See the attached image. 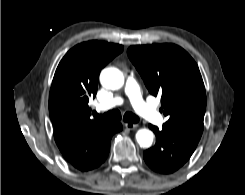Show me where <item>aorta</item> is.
Segmentation results:
<instances>
[{"label": "aorta", "instance_id": "1", "mask_svg": "<svg viewBox=\"0 0 245 195\" xmlns=\"http://www.w3.org/2000/svg\"><path fill=\"white\" fill-rule=\"evenodd\" d=\"M100 82L103 87L118 90L124 84V76L122 72L114 67L105 68L100 74ZM154 135L148 129H140L136 133L137 143L143 148L151 147Z\"/></svg>", "mask_w": 245, "mask_h": 195}]
</instances>
